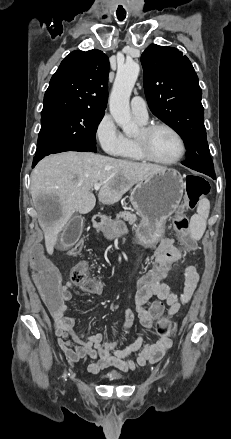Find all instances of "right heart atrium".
I'll use <instances>...</instances> for the list:
<instances>
[{"label":"right heart atrium","mask_w":231,"mask_h":439,"mask_svg":"<svg viewBox=\"0 0 231 439\" xmlns=\"http://www.w3.org/2000/svg\"><path fill=\"white\" fill-rule=\"evenodd\" d=\"M95 137L102 150L112 156L120 155L125 147V137L117 127L113 117L106 113L98 121Z\"/></svg>","instance_id":"d8ad5b80"}]
</instances>
